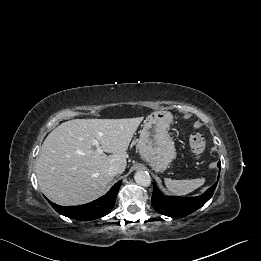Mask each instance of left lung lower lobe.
<instances>
[{"label":"left lung lower lobe","mask_w":261,"mask_h":261,"mask_svg":"<svg viewBox=\"0 0 261 261\" xmlns=\"http://www.w3.org/2000/svg\"><path fill=\"white\" fill-rule=\"evenodd\" d=\"M218 167H221L220 162L218 163ZM216 185L217 182L205 193L197 197L164 196L154 185L151 204L160 214L173 218L183 217L202 207L212 197Z\"/></svg>","instance_id":"0a47b994"}]
</instances>
